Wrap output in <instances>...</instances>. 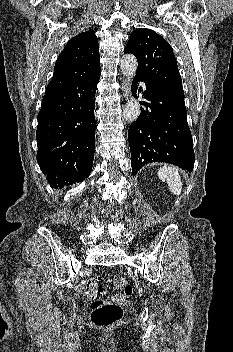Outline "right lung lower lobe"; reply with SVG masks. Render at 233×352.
<instances>
[{"label": "right lung lower lobe", "instance_id": "1", "mask_svg": "<svg viewBox=\"0 0 233 352\" xmlns=\"http://www.w3.org/2000/svg\"><path fill=\"white\" fill-rule=\"evenodd\" d=\"M101 70L46 89L38 113L37 162L49 184L61 188L89 176L94 159L95 93Z\"/></svg>", "mask_w": 233, "mask_h": 352}]
</instances>
